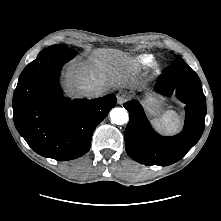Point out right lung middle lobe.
<instances>
[{
    "label": "right lung middle lobe",
    "instance_id": "obj_1",
    "mask_svg": "<svg viewBox=\"0 0 221 221\" xmlns=\"http://www.w3.org/2000/svg\"><path fill=\"white\" fill-rule=\"evenodd\" d=\"M46 49L60 50V51H69V50H71L65 45H53V46H50Z\"/></svg>",
    "mask_w": 221,
    "mask_h": 221
}]
</instances>
